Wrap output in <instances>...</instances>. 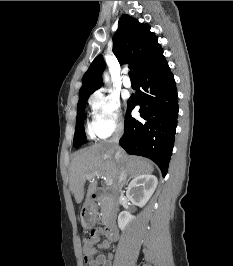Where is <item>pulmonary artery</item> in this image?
<instances>
[{
    "label": "pulmonary artery",
    "instance_id": "1",
    "mask_svg": "<svg viewBox=\"0 0 233 266\" xmlns=\"http://www.w3.org/2000/svg\"><path fill=\"white\" fill-rule=\"evenodd\" d=\"M122 83H123L124 87H126V88H131V86H132L131 80L127 75H125L123 77Z\"/></svg>",
    "mask_w": 233,
    "mask_h": 266
}]
</instances>
